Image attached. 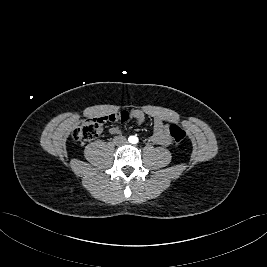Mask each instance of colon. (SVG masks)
Here are the masks:
<instances>
[{
	"instance_id": "1",
	"label": "colon",
	"mask_w": 267,
	"mask_h": 267,
	"mask_svg": "<svg viewBox=\"0 0 267 267\" xmlns=\"http://www.w3.org/2000/svg\"><path fill=\"white\" fill-rule=\"evenodd\" d=\"M125 112H116L109 117L90 118L84 120L73 131V138L77 142H87L96 138L101 132L102 126L106 121H126ZM169 133L176 143H181L186 138V132L182 127L172 124L169 127Z\"/></svg>"
}]
</instances>
